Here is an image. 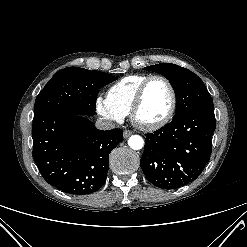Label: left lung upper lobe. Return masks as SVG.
Listing matches in <instances>:
<instances>
[{
    "label": "left lung upper lobe",
    "instance_id": "5c2ea615",
    "mask_svg": "<svg viewBox=\"0 0 247 247\" xmlns=\"http://www.w3.org/2000/svg\"><path fill=\"white\" fill-rule=\"evenodd\" d=\"M146 69L164 75L173 85L177 96L174 118L192 110H213V100L206 86L190 70L171 63L156 64L148 66Z\"/></svg>",
    "mask_w": 247,
    "mask_h": 247
}]
</instances>
